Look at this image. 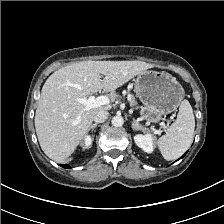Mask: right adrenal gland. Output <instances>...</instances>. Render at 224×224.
Here are the masks:
<instances>
[{
    "mask_svg": "<svg viewBox=\"0 0 224 224\" xmlns=\"http://www.w3.org/2000/svg\"><path fill=\"white\" fill-rule=\"evenodd\" d=\"M97 126H98V123H94L90 126L89 130H91L93 132Z\"/></svg>",
    "mask_w": 224,
    "mask_h": 224,
    "instance_id": "2a0ac1e0",
    "label": "right adrenal gland"
}]
</instances>
